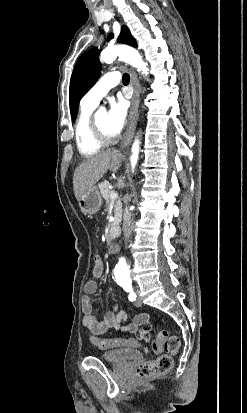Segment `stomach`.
Masks as SVG:
<instances>
[{"label":"stomach","mask_w":247,"mask_h":413,"mask_svg":"<svg viewBox=\"0 0 247 413\" xmlns=\"http://www.w3.org/2000/svg\"><path fill=\"white\" fill-rule=\"evenodd\" d=\"M78 202L83 215H94L101 209L103 200L97 186H92L78 198Z\"/></svg>","instance_id":"obj_1"}]
</instances>
